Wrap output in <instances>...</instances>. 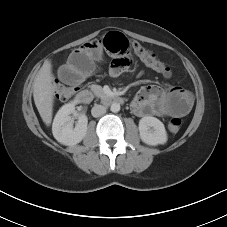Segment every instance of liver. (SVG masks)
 Returning <instances> with one entry per match:
<instances>
[{
	"instance_id": "1",
	"label": "liver",
	"mask_w": 227,
	"mask_h": 227,
	"mask_svg": "<svg viewBox=\"0 0 227 227\" xmlns=\"http://www.w3.org/2000/svg\"><path fill=\"white\" fill-rule=\"evenodd\" d=\"M50 61H45L33 84V97L43 122L49 126L52 121L55 85Z\"/></svg>"
}]
</instances>
